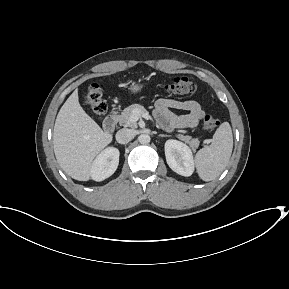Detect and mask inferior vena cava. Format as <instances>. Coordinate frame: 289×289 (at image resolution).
<instances>
[{
  "instance_id": "obj_1",
  "label": "inferior vena cava",
  "mask_w": 289,
  "mask_h": 289,
  "mask_svg": "<svg viewBox=\"0 0 289 289\" xmlns=\"http://www.w3.org/2000/svg\"><path fill=\"white\" fill-rule=\"evenodd\" d=\"M133 138V132L130 129H121L116 133V140L120 144H126Z\"/></svg>"
}]
</instances>
